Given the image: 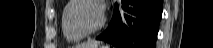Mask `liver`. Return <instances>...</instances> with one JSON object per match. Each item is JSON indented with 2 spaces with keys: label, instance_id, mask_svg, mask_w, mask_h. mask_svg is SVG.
I'll return each mask as SVG.
<instances>
[{
  "label": "liver",
  "instance_id": "liver-1",
  "mask_svg": "<svg viewBox=\"0 0 213 48\" xmlns=\"http://www.w3.org/2000/svg\"><path fill=\"white\" fill-rule=\"evenodd\" d=\"M98 47V42L96 41H88L87 43H82L77 45L75 48H96Z\"/></svg>",
  "mask_w": 213,
  "mask_h": 48
}]
</instances>
